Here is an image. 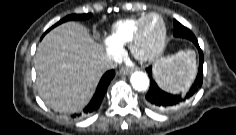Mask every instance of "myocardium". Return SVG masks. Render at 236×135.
Wrapping results in <instances>:
<instances>
[{"label": "myocardium", "instance_id": "f54148a6", "mask_svg": "<svg viewBox=\"0 0 236 135\" xmlns=\"http://www.w3.org/2000/svg\"><path fill=\"white\" fill-rule=\"evenodd\" d=\"M153 17L157 18L161 23V28H162L161 35L157 43L149 51L142 52L140 50V47L143 40L145 26L148 20ZM166 40H167V26L164 18L158 13H149L145 15V17L138 25L137 30L129 44V49L133 57L136 58L137 60L142 62H151L157 59L161 55L165 47Z\"/></svg>", "mask_w": 236, "mask_h": 135}]
</instances>
